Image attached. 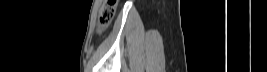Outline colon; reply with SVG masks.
<instances>
[{
  "label": "colon",
  "mask_w": 267,
  "mask_h": 72,
  "mask_svg": "<svg viewBox=\"0 0 267 72\" xmlns=\"http://www.w3.org/2000/svg\"><path fill=\"white\" fill-rule=\"evenodd\" d=\"M115 0H109L105 6L102 7L99 14V27L100 29L108 26L113 19L115 12Z\"/></svg>",
  "instance_id": "colon-1"
}]
</instances>
